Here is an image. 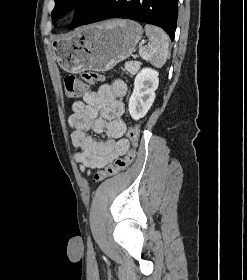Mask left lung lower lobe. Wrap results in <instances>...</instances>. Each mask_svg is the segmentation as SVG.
<instances>
[{"instance_id":"obj_1","label":"left lung lower lobe","mask_w":247,"mask_h":280,"mask_svg":"<svg viewBox=\"0 0 247 280\" xmlns=\"http://www.w3.org/2000/svg\"><path fill=\"white\" fill-rule=\"evenodd\" d=\"M177 15V0H106L94 9L80 25L109 18H126L157 25L174 40ZM69 28L75 27L69 26Z\"/></svg>"}]
</instances>
